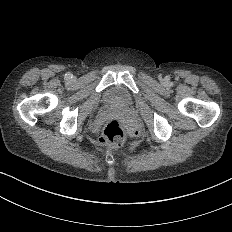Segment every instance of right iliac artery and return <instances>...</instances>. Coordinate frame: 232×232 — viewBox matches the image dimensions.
<instances>
[{
  "label": "right iliac artery",
  "instance_id": "right-iliac-artery-1",
  "mask_svg": "<svg viewBox=\"0 0 232 232\" xmlns=\"http://www.w3.org/2000/svg\"><path fill=\"white\" fill-rule=\"evenodd\" d=\"M65 78H66V79L72 78V74H71L70 72L66 73V74H65Z\"/></svg>",
  "mask_w": 232,
  "mask_h": 232
}]
</instances>
